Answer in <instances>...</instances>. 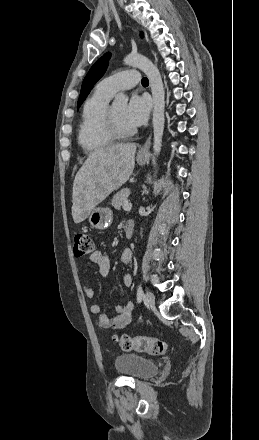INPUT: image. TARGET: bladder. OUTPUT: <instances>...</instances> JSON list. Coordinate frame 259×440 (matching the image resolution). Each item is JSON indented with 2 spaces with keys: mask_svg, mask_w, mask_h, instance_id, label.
I'll return each mask as SVG.
<instances>
[{
  "mask_svg": "<svg viewBox=\"0 0 259 440\" xmlns=\"http://www.w3.org/2000/svg\"><path fill=\"white\" fill-rule=\"evenodd\" d=\"M116 371L134 379H146L158 372L156 362L135 353H122L115 358Z\"/></svg>",
  "mask_w": 259,
  "mask_h": 440,
  "instance_id": "bladder-1",
  "label": "bladder"
}]
</instances>
